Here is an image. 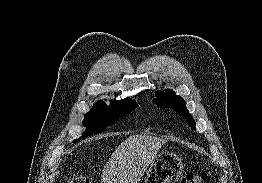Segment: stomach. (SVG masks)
I'll return each mask as SVG.
<instances>
[{
	"instance_id": "obj_1",
	"label": "stomach",
	"mask_w": 262,
	"mask_h": 183,
	"mask_svg": "<svg viewBox=\"0 0 262 183\" xmlns=\"http://www.w3.org/2000/svg\"><path fill=\"white\" fill-rule=\"evenodd\" d=\"M183 171V162L175 153L158 154L150 164L145 183H177Z\"/></svg>"
}]
</instances>
